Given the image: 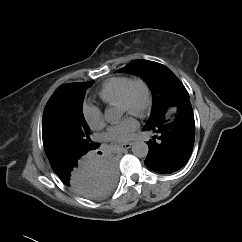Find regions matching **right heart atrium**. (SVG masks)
Segmentation results:
<instances>
[{
  "label": "right heart atrium",
  "mask_w": 242,
  "mask_h": 242,
  "mask_svg": "<svg viewBox=\"0 0 242 242\" xmlns=\"http://www.w3.org/2000/svg\"><path fill=\"white\" fill-rule=\"evenodd\" d=\"M81 113L84 121L91 129H99L103 126L104 118L99 107L85 102L82 105Z\"/></svg>",
  "instance_id": "d8ad5b80"
}]
</instances>
